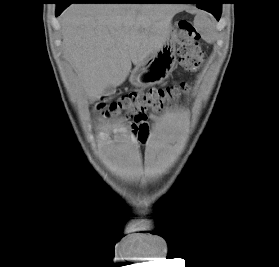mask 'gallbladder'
I'll return each instance as SVG.
<instances>
[{"label":"gallbladder","instance_id":"1","mask_svg":"<svg viewBox=\"0 0 279 267\" xmlns=\"http://www.w3.org/2000/svg\"><path fill=\"white\" fill-rule=\"evenodd\" d=\"M114 90H115V87L112 86V85H110V86H108V87L105 88V90H104L103 93L106 94V95L112 94V93L114 92Z\"/></svg>","mask_w":279,"mask_h":267}]
</instances>
